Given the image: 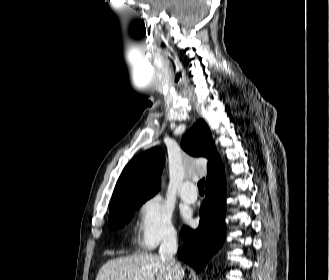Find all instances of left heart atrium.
<instances>
[{"label": "left heart atrium", "mask_w": 329, "mask_h": 280, "mask_svg": "<svg viewBox=\"0 0 329 280\" xmlns=\"http://www.w3.org/2000/svg\"><path fill=\"white\" fill-rule=\"evenodd\" d=\"M185 218L188 219V218H189V215L186 214V215H185Z\"/></svg>", "instance_id": "39dd6f15"}]
</instances>
